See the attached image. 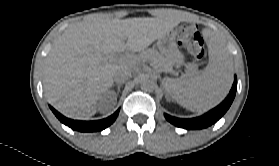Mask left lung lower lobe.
I'll list each match as a JSON object with an SVG mask.
<instances>
[{"label":"left lung lower lobe","instance_id":"left-lung-lower-lobe-1","mask_svg":"<svg viewBox=\"0 0 279 166\" xmlns=\"http://www.w3.org/2000/svg\"><path fill=\"white\" fill-rule=\"evenodd\" d=\"M236 90H237V78L235 76L233 86L227 98L219 106L212 109L211 111L204 114L203 116L192 118V119H180V118L172 117L168 114H164V116L170 123L180 128H184V129L206 128L214 124L215 122H217L229 109V107L231 106L234 100Z\"/></svg>","mask_w":279,"mask_h":166}]
</instances>
